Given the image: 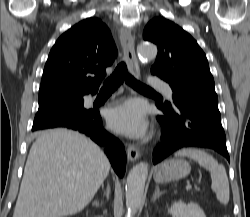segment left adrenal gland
Listing matches in <instances>:
<instances>
[{"label": "left adrenal gland", "instance_id": "a2214340", "mask_svg": "<svg viewBox=\"0 0 250 217\" xmlns=\"http://www.w3.org/2000/svg\"><path fill=\"white\" fill-rule=\"evenodd\" d=\"M165 191H160L159 187L156 186L155 187V192L153 194V198H152V201H155L157 198H159L162 194H164Z\"/></svg>", "mask_w": 250, "mask_h": 217}]
</instances>
